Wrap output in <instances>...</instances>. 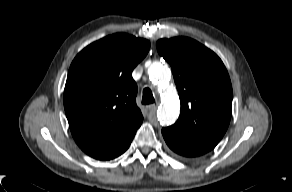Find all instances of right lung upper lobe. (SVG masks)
Returning <instances> with one entry per match:
<instances>
[{"mask_svg":"<svg viewBox=\"0 0 292 192\" xmlns=\"http://www.w3.org/2000/svg\"><path fill=\"white\" fill-rule=\"evenodd\" d=\"M149 48L146 39L116 33L75 57L65 85L64 108L76 143L109 140L141 125L132 71Z\"/></svg>","mask_w":292,"mask_h":192,"instance_id":"obj_1","label":"right lung upper lobe"}]
</instances>
